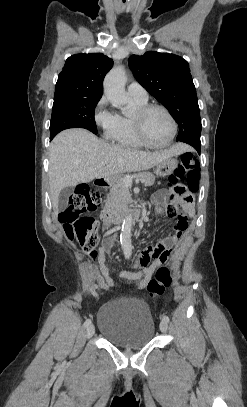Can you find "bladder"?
Masks as SVG:
<instances>
[{"instance_id":"31cf9c89","label":"bladder","mask_w":247,"mask_h":407,"mask_svg":"<svg viewBox=\"0 0 247 407\" xmlns=\"http://www.w3.org/2000/svg\"><path fill=\"white\" fill-rule=\"evenodd\" d=\"M97 320L102 336L123 349L142 348L154 337L149 305L135 293L105 301L98 310Z\"/></svg>"}]
</instances>
